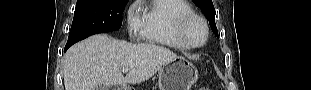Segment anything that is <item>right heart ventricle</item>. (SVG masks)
Instances as JSON below:
<instances>
[{
  "mask_svg": "<svg viewBox=\"0 0 311 90\" xmlns=\"http://www.w3.org/2000/svg\"><path fill=\"white\" fill-rule=\"evenodd\" d=\"M192 13V6L185 0L152 1L142 13V39L173 49H188L178 38L176 26L182 16Z\"/></svg>",
  "mask_w": 311,
  "mask_h": 90,
  "instance_id": "1",
  "label": "right heart ventricle"
}]
</instances>
